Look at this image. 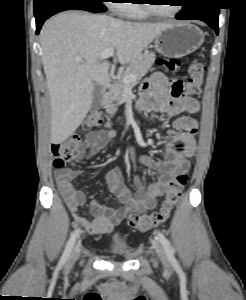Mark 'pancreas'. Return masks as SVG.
Returning <instances> with one entry per match:
<instances>
[{"instance_id": "cf45deb5", "label": "pancreas", "mask_w": 246, "mask_h": 300, "mask_svg": "<svg viewBox=\"0 0 246 300\" xmlns=\"http://www.w3.org/2000/svg\"><path fill=\"white\" fill-rule=\"evenodd\" d=\"M154 62V53H144L128 65L122 77L115 82L103 99V106L108 114L114 115L116 113L117 108L113 103L121 101L124 98L125 90L134 87L137 81L146 75ZM128 75H134L135 80L125 83L124 78Z\"/></svg>"}]
</instances>
